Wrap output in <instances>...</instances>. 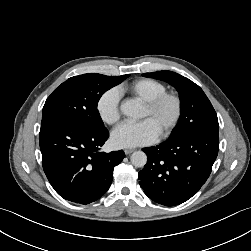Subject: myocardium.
<instances>
[{
    "instance_id": "myocardium-1",
    "label": "myocardium",
    "mask_w": 251,
    "mask_h": 251,
    "mask_svg": "<svg viewBox=\"0 0 251 251\" xmlns=\"http://www.w3.org/2000/svg\"><path fill=\"white\" fill-rule=\"evenodd\" d=\"M171 102L173 105V113L170 119L167 121L163 129L159 132L161 138L167 137L171 134L174 128L177 126L183 110V103L181 97L175 92L165 91L153 99L145 102V107L151 113H155L164 103Z\"/></svg>"
}]
</instances>
